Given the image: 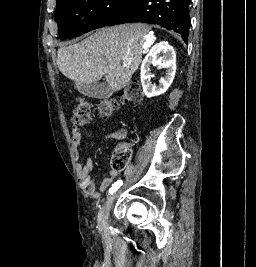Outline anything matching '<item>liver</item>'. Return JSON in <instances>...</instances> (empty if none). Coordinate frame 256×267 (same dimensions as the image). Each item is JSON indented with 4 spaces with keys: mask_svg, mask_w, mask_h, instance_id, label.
Returning <instances> with one entry per match:
<instances>
[{
    "mask_svg": "<svg viewBox=\"0 0 256 267\" xmlns=\"http://www.w3.org/2000/svg\"><path fill=\"white\" fill-rule=\"evenodd\" d=\"M147 32L149 28L145 24L101 28L79 44L59 48L57 66L66 78L80 84L105 78L109 88L117 92L138 70Z\"/></svg>",
    "mask_w": 256,
    "mask_h": 267,
    "instance_id": "liver-1",
    "label": "liver"
}]
</instances>
